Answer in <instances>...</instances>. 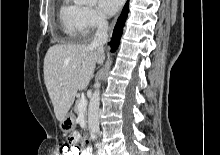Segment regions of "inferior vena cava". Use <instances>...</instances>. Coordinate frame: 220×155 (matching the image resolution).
<instances>
[{
	"mask_svg": "<svg viewBox=\"0 0 220 155\" xmlns=\"http://www.w3.org/2000/svg\"><path fill=\"white\" fill-rule=\"evenodd\" d=\"M108 22L106 20L105 16H102L100 18L96 33H95V37L93 42L90 45V48L92 49H97V53L104 58V44L107 42L108 39ZM103 61V60H102ZM101 61V62H102ZM99 62V63H101Z\"/></svg>",
	"mask_w": 220,
	"mask_h": 155,
	"instance_id": "obj_1",
	"label": "inferior vena cava"
}]
</instances>
